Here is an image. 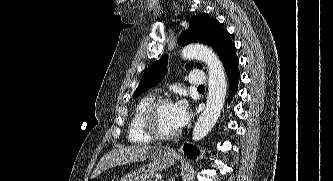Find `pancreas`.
Instances as JSON below:
<instances>
[{
    "mask_svg": "<svg viewBox=\"0 0 333 181\" xmlns=\"http://www.w3.org/2000/svg\"><path fill=\"white\" fill-rule=\"evenodd\" d=\"M153 181H160L159 179L155 178Z\"/></svg>",
    "mask_w": 333,
    "mask_h": 181,
    "instance_id": "1",
    "label": "pancreas"
}]
</instances>
